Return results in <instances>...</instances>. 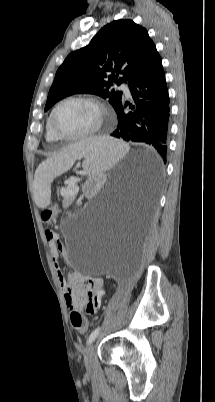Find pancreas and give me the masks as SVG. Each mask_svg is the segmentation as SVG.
I'll use <instances>...</instances> for the list:
<instances>
[{
  "label": "pancreas",
  "instance_id": "obj_1",
  "mask_svg": "<svg viewBox=\"0 0 215 402\" xmlns=\"http://www.w3.org/2000/svg\"><path fill=\"white\" fill-rule=\"evenodd\" d=\"M77 187H76V185H71V184H69L68 186H67V190H70V189H76Z\"/></svg>",
  "mask_w": 215,
  "mask_h": 402
}]
</instances>
